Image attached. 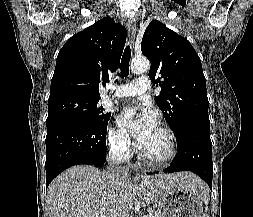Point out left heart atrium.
Returning <instances> with one entry per match:
<instances>
[{
  "label": "left heart atrium",
  "mask_w": 253,
  "mask_h": 217,
  "mask_svg": "<svg viewBox=\"0 0 253 217\" xmlns=\"http://www.w3.org/2000/svg\"><path fill=\"white\" fill-rule=\"evenodd\" d=\"M118 122L132 133L138 143L157 127L155 114L145 107H125L118 116Z\"/></svg>",
  "instance_id": "left-heart-atrium-1"
}]
</instances>
